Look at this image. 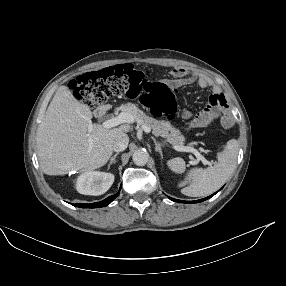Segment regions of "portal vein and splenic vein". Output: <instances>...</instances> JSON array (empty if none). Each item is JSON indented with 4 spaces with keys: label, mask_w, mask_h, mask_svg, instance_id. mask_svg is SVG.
Returning <instances> with one entry per match:
<instances>
[{
    "label": "portal vein and splenic vein",
    "mask_w": 286,
    "mask_h": 286,
    "mask_svg": "<svg viewBox=\"0 0 286 286\" xmlns=\"http://www.w3.org/2000/svg\"><path fill=\"white\" fill-rule=\"evenodd\" d=\"M133 120H134V118L131 114L121 112L117 116L111 117L110 119H107L106 121H104L102 123V126L104 128L109 129V128H113L115 126H118L119 124L132 123ZM142 128L146 133L151 132V128L148 126H143ZM173 149H175L177 151H181V152H191L197 157L198 160H201L204 165H210L211 164L196 149H194L192 147L175 145V146H173Z\"/></svg>",
    "instance_id": "portal-vein-and-splenic-vein-1"
}]
</instances>
